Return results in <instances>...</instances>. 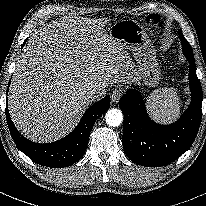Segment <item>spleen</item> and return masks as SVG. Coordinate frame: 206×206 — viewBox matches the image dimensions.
<instances>
[{"label": "spleen", "instance_id": "3e777b00", "mask_svg": "<svg viewBox=\"0 0 206 206\" xmlns=\"http://www.w3.org/2000/svg\"><path fill=\"white\" fill-rule=\"evenodd\" d=\"M147 104L151 116L158 122L168 123L179 117L181 103L174 88L155 90Z\"/></svg>", "mask_w": 206, "mask_h": 206}]
</instances>
